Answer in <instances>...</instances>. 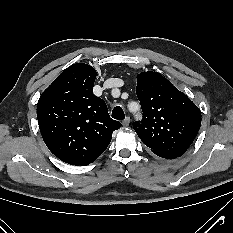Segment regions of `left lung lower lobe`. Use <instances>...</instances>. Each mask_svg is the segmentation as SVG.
<instances>
[{
    "label": "left lung lower lobe",
    "instance_id": "obj_1",
    "mask_svg": "<svg viewBox=\"0 0 233 233\" xmlns=\"http://www.w3.org/2000/svg\"><path fill=\"white\" fill-rule=\"evenodd\" d=\"M158 155L159 157H162V158H166V159H174L176 157H171V156H168V155H162V154H156Z\"/></svg>",
    "mask_w": 233,
    "mask_h": 233
}]
</instances>
